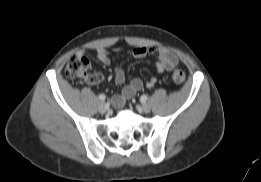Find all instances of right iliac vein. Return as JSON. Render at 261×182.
<instances>
[{
    "label": "right iliac vein",
    "instance_id": "right-iliac-vein-1",
    "mask_svg": "<svg viewBox=\"0 0 261 182\" xmlns=\"http://www.w3.org/2000/svg\"><path fill=\"white\" fill-rule=\"evenodd\" d=\"M98 110L101 113H105L107 111V106L104 102L99 103Z\"/></svg>",
    "mask_w": 261,
    "mask_h": 182
}]
</instances>
